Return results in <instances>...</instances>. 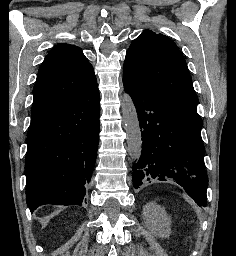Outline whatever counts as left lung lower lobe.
Segmentation results:
<instances>
[{
	"label": "left lung lower lobe",
	"mask_w": 236,
	"mask_h": 256,
	"mask_svg": "<svg viewBox=\"0 0 236 256\" xmlns=\"http://www.w3.org/2000/svg\"><path fill=\"white\" fill-rule=\"evenodd\" d=\"M134 102L142 136V152L133 165V186L173 180L198 205L205 206L208 176L197 110L123 78Z\"/></svg>",
	"instance_id": "0a47b994"
}]
</instances>
